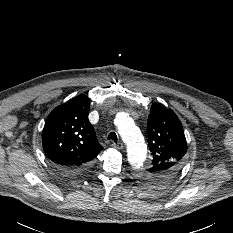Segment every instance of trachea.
Returning <instances> with one entry per match:
<instances>
[{"instance_id":"3493384b","label":"trachea","mask_w":233,"mask_h":233,"mask_svg":"<svg viewBox=\"0 0 233 233\" xmlns=\"http://www.w3.org/2000/svg\"><path fill=\"white\" fill-rule=\"evenodd\" d=\"M108 139L113 140L114 142H117V135L115 132H111L108 136Z\"/></svg>"}]
</instances>
